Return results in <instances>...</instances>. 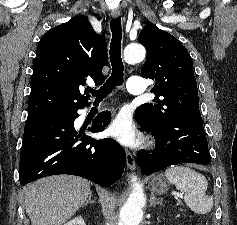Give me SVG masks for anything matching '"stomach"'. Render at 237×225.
Returning a JSON list of instances; mask_svg holds the SVG:
<instances>
[{"instance_id": "0dacf381", "label": "stomach", "mask_w": 237, "mask_h": 225, "mask_svg": "<svg viewBox=\"0 0 237 225\" xmlns=\"http://www.w3.org/2000/svg\"><path fill=\"white\" fill-rule=\"evenodd\" d=\"M149 185H150L151 191L159 195L166 193L169 189L168 181L161 174L155 176L150 181Z\"/></svg>"}]
</instances>
